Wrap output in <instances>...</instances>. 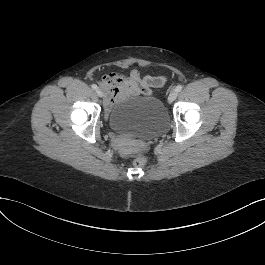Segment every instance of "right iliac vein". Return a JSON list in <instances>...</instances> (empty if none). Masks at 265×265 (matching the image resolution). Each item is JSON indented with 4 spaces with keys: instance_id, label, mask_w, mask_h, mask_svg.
<instances>
[{
    "instance_id": "right-iliac-vein-1",
    "label": "right iliac vein",
    "mask_w": 265,
    "mask_h": 265,
    "mask_svg": "<svg viewBox=\"0 0 265 265\" xmlns=\"http://www.w3.org/2000/svg\"><path fill=\"white\" fill-rule=\"evenodd\" d=\"M96 93H97V95H98L99 97H103V96H104L103 91H102L101 89H99V88L96 89Z\"/></svg>"
}]
</instances>
